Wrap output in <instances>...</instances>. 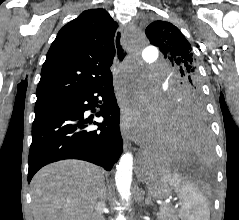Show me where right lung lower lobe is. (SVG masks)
I'll return each instance as SVG.
<instances>
[{
    "label": "right lung lower lobe",
    "mask_w": 239,
    "mask_h": 220,
    "mask_svg": "<svg viewBox=\"0 0 239 220\" xmlns=\"http://www.w3.org/2000/svg\"><path fill=\"white\" fill-rule=\"evenodd\" d=\"M102 123L84 119V112L99 106ZM120 109L113 90L112 74L90 90L72 97L35 106L32 143L29 151L28 182L46 164L63 159H80L107 171L119 159L123 141L119 128ZM98 125L89 131V124Z\"/></svg>",
    "instance_id": "obj_1"
}]
</instances>
